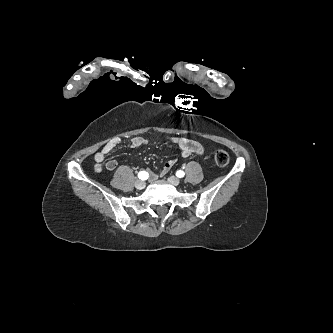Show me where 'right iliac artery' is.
Masks as SVG:
<instances>
[{
	"label": "right iliac artery",
	"mask_w": 333,
	"mask_h": 333,
	"mask_svg": "<svg viewBox=\"0 0 333 333\" xmlns=\"http://www.w3.org/2000/svg\"><path fill=\"white\" fill-rule=\"evenodd\" d=\"M138 177L141 180H146L148 178V173L146 171H141L138 173Z\"/></svg>",
	"instance_id": "right-iliac-artery-1"
}]
</instances>
